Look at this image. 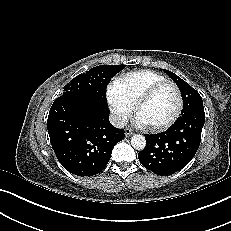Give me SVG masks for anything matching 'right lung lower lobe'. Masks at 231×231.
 Returning a JSON list of instances; mask_svg holds the SVG:
<instances>
[{
  "instance_id": "98d812e1",
  "label": "right lung lower lobe",
  "mask_w": 231,
  "mask_h": 231,
  "mask_svg": "<svg viewBox=\"0 0 231 231\" xmlns=\"http://www.w3.org/2000/svg\"><path fill=\"white\" fill-rule=\"evenodd\" d=\"M83 95L76 91L58 97L49 112L48 133L60 163L71 173L93 176L107 165L114 145L125 136L109 123V109L92 98L93 110L78 109Z\"/></svg>"
}]
</instances>
